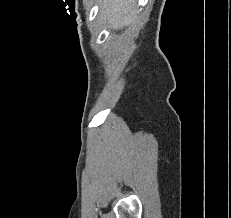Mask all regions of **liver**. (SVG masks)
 Masks as SVG:
<instances>
[{"mask_svg":"<svg viewBox=\"0 0 231 218\" xmlns=\"http://www.w3.org/2000/svg\"><path fill=\"white\" fill-rule=\"evenodd\" d=\"M100 16L113 29L130 23L135 14V0H101Z\"/></svg>","mask_w":231,"mask_h":218,"instance_id":"obj_1","label":"liver"}]
</instances>
